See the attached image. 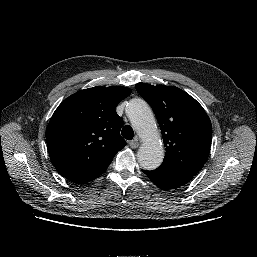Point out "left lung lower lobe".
<instances>
[{"instance_id": "0a47b994", "label": "left lung lower lobe", "mask_w": 257, "mask_h": 257, "mask_svg": "<svg viewBox=\"0 0 257 257\" xmlns=\"http://www.w3.org/2000/svg\"><path fill=\"white\" fill-rule=\"evenodd\" d=\"M149 179L163 190L176 189L192 179V176L170 169L158 167L156 170H142Z\"/></svg>"}]
</instances>
